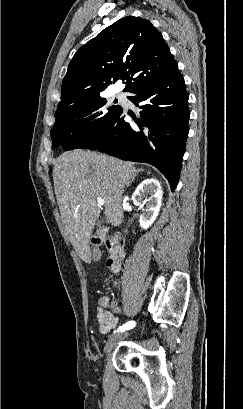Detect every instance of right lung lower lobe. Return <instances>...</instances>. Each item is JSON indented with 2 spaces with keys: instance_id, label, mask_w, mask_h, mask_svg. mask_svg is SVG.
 Masks as SVG:
<instances>
[{
  "instance_id": "98d812e1",
  "label": "right lung lower lobe",
  "mask_w": 243,
  "mask_h": 409,
  "mask_svg": "<svg viewBox=\"0 0 243 409\" xmlns=\"http://www.w3.org/2000/svg\"><path fill=\"white\" fill-rule=\"evenodd\" d=\"M128 99L138 106L136 124L124 121L122 108L111 123L76 148L97 149L117 158L148 163L158 168L176 188L189 132L188 93L178 67L158 79L129 90Z\"/></svg>"
}]
</instances>
